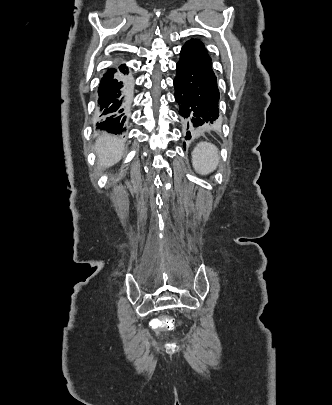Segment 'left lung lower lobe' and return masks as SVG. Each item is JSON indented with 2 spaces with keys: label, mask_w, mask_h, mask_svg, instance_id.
Returning a JSON list of instances; mask_svg holds the SVG:
<instances>
[{
  "label": "left lung lower lobe",
  "mask_w": 332,
  "mask_h": 405,
  "mask_svg": "<svg viewBox=\"0 0 332 405\" xmlns=\"http://www.w3.org/2000/svg\"><path fill=\"white\" fill-rule=\"evenodd\" d=\"M175 100L186 140L219 117V90L211 58L196 46L185 44L176 65Z\"/></svg>",
  "instance_id": "obj_1"
}]
</instances>
